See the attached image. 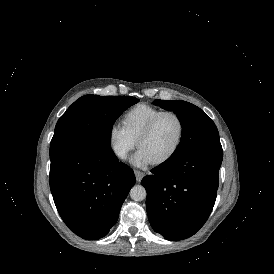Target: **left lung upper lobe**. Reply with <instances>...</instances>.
<instances>
[{"mask_svg": "<svg viewBox=\"0 0 274 274\" xmlns=\"http://www.w3.org/2000/svg\"><path fill=\"white\" fill-rule=\"evenodd\" d=\"M153 103L173 111L182 126L181 141L169 159H177L202 147L221 146L216 125L197 106L181 100L157 99Z\"/></svg>", "mask_w": 274, "mask_h": 274, "instance_id": "left-lung-upper-lobe-1", "label": "left lung upper lobe"}]
</instances>
